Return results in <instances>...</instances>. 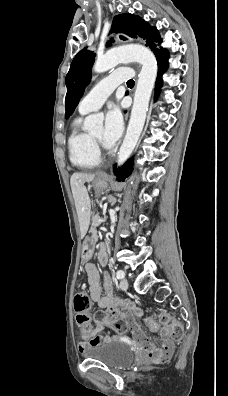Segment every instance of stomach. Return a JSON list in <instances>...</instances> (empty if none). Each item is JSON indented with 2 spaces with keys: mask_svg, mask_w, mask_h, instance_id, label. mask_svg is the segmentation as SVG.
<instances>
[{
  "mask_svg": "<svg viewBox=\"0 0 228 396\" xmlns=\"http://www.w3.org/2000/svg\"><path fill=\"white\" fill-rule=\"evenodd\" d=\"M97 195L101 194L108 187V178L106 176H99L93 183ZM95 236H87L81 246V255L83 260H89L94 252Z\"/></svg>",
  "mask_w": 228,
  "mask_h": 396,
  "instance_id": "stomach-1",
  "label": "stomach"
}]
</instances>
